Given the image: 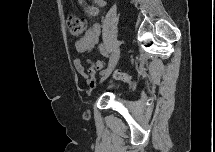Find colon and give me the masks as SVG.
Returning a JSON list of instances; mask_svg holds the SVG:
<instances>
[{
	"label": "colon",
	"mask_w": 215,
	"mask_h": 152,
	"mask_svg": "<svg viewBox=\"0 0 215 152\" xmlns=\"http://www.w3.org/2000/svg\"><path fill=\"white\" fill-rule=\"evenodd\" d=\"M85 20L79 16H70L68 18V29L72 36L78 37L80 36L85 29ZM103 69V63L99 60H90L88 66L86 67V72L90 75L95 74ZM115 78L121 80L126 83H131V78L120 71L115 72Z\"/></svg>",
	"instance_id": "5ec220e1"
}]
</instances>
